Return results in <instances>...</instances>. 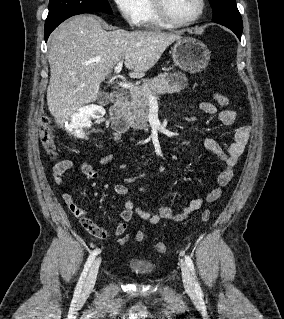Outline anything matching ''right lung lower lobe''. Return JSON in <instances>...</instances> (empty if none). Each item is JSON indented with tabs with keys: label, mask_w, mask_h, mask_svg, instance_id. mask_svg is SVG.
Returning <instances> with one entry per match:
<instances>
[{
	"label": "right lung lower lobe",
	"mask_w": 284,
	"mask_h": 319,
	"mask_svg": "<svg viewBox=\"0 0 284 319\" xmlns=\"http://www.w3.org/2000/svg\"><path fill=\"white\" fill-rule=\"evenodd\" d=\"M108 14H112V13H108ZM67 18H69V17H67ZM67 18L62 19V20L56 22V23L53 24V25H50V26H48V27H45V41H47V39H48L50 33H51L60 23H62V22H63L64 20H66Z\"/></svg>",
	"instance_id": "obj_1"
}]
</instances>
